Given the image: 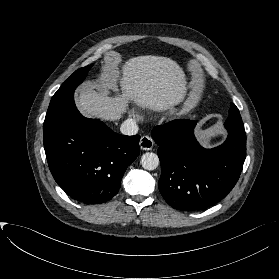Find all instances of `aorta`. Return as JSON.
<instances>
[{
	"mask_svg": "<svg viewBox=\"0 0 279 279\" xmlns=\"http://www.w3.org/2000/svg\"><path fill=\"white\" fill-rule=\"evenodd\" d=\"M140 163L144 169L151 171L158 167L159 158L157 154L153 152H147L141 156Z\"/></svg>",
	"mask_w": 279,
	"mask_h": 279,
	"instance_id": "aorta-1",
	"label": "aorta"
}]
</instances>
